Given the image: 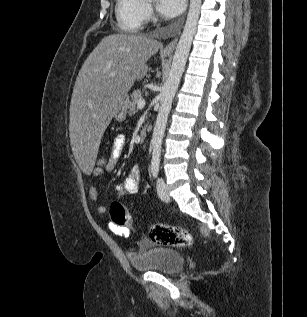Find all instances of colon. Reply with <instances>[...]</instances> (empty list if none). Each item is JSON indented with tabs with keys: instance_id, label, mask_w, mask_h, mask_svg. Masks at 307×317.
<instances>
[{
	"instance_id": "5ec220e1",
	"label": "colon",
	"mask_w": 307,
	"mask_h": 317,
	"mask_svg": "<svg viewBox=\"0 0 307 317\" xmlns=\"http://www.w3.org/2000/svg\"><path fill=\"white\" fill-rule=\"evenodd\" d=\"M108 162V158L98 155L95 168H104ZM110 216L113 223L119 227L132 228V217L127 213L124 206L115 201L110 208ZM150 241L157 245L168 247H188L192 244L190 233L184 228L165 224H154L149 229Z\"/></svg>"
}]
</instances>
